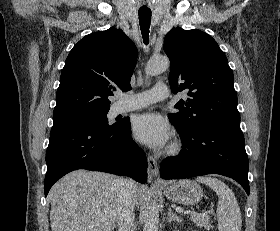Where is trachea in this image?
I'll use <instances>...</instances> for the list:
<instances>
[{
  "label": "trachea",
  "mask_w": 280,
  "mask_h": 231,
  "mask_svg": "<svg viewBox=\"0 0 280 231\" xmlns=\"http://www.w3.org/2000/svg\"><path fill=\"white\" fill-rule=\"evenodd\" d=\"M138 15H139V23H140L142 37H143L144 43L147 45L149 28H150V20H151V10L139 9Z\"/></svg>",
  "instance_id": "obj_1"
}]
</instances>
